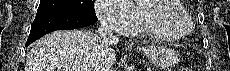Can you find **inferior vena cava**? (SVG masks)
Listing matches in <instances>:
<instances>
[{
    "instance_id": "1",
    "label": "inferior vena cava",
    "mask_w": 230,
    "mask_h": 71,
    "mask_svg": "<svg viewBox=\"0 0 230 71\" xmlns=\"http://www.w3.org/2000/svg\"><path fill=\"white\" fill-rule=\"evenodd\" d=\"M96 34L104 41V42H115L117 38L113 35V31L110 25L106 22H101Z\"/></svg>"
}]
</instances>
